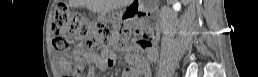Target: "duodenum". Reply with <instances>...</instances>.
Segmentation results:
<instances>
[{"mask_svg":"<svg viewBox=\"0 0 258 77\" xmlns=\"http://www.w3.org/2000/svg\"><path fill=\"white\" fill-rule=\"evenodd\" d=\"M129 12L135 16H141L140 7H138V6L132 5L129 9Z\"/></svg>","mask_w":258,"mask_h":77,"instance_id":"410a0bca","label":"duodenum"}]
</instances>
